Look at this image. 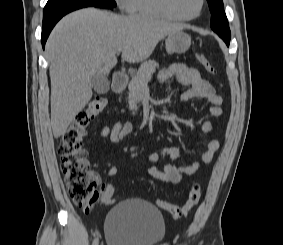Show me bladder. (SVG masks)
<instances>
[{
  "mask_svg": "<svg viewBox=\"0 0 283 245\" xmlns=\"http://www.w3.org/2000/svg\"><path fill=\"white\" fill-rule=\"evenodd\" d=\"M166 226L162 213L142 199H127L113 206L105 220L108 245H160Z\"/></svg>",
  "mask_w": 283,
  "mask_h": 245,
  "instance_id": "1",
  "label": "bladder"
}]
</instances>
